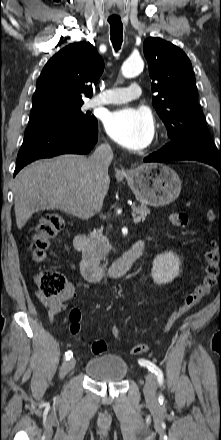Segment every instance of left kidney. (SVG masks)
<instances>
[{
    "label": "left kidney",
    "instance_id": "1",
    "mask_svg": "<svg viewBox=\"0 0 221 440\" xmlns=\"http://www.w3.org/2000/svg\"><path fill=\"white\" fill-rule=\"evenodd\" d=\"M181 261L172 251H167L155 257L151 276L156 284L171 282L179 275Z\"/></svg>",
    "mask_w": 221,
    "mask_h": 440
}]
</instances>
